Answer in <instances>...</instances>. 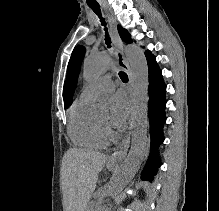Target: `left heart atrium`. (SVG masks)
<instances>
[{"label":"left heart atrium","instance_id":"39dd6f15","mask_svg":"<svg viewBox=\"0 0 219 211\" xmlns=\"http://www.w3.org/2000/svg\"><path fill=\"white\" fill-rule=\"evenodd\" d=\"M129 107L126 99L119 94L109 100V119L113 128L120 129L126 123Z\"/></svg>","mask_w":219,"mask_h":211}]
</instances>
